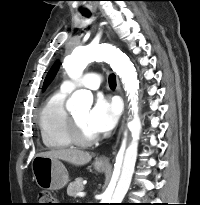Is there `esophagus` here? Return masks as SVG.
Wrapping results in <instances>:
<instances>
[{
  "label": "esophagus",
  "mask_w": 200,
  "mask_h": 205,
  "mask_svg": "<svg viewBox=\"0 0 200 205\" xmlns=\"http://www.w3.org/2000/svg\"><path fill=\"white\" fill-rule=\"evenodd\" d=\"M117 88H118V90H119L121 96L123 97V91H122V89H121V85H120L119 79H117ZM124 122H125V112H124V115H123V118H122V122H121V126H120V129H119L118 135H117L116 144L118 143L119 138H120V135H121V133H122V131H123ZM114 153H115V152H114ZM109 161H110V159H109V157H107V156H100V157L98 158V162L103 163V164H107V163H109Z\"/></svg>",
  "instance_id": "34e87169"
}]
</instances>
